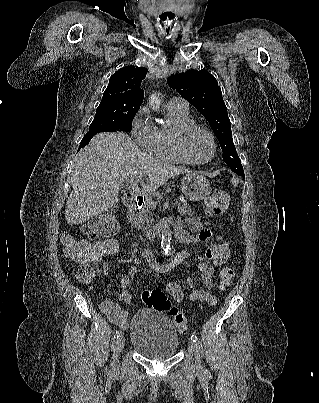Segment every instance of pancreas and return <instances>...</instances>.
<instances>
[{
	"instance_id": "1",
	"label": "pancreas",
	"mask_w": 319,
	"mask_h": 403,
	"mask_svg": "<svg viewBox=\"0 0 319 403\" xmlns=\"http://www.w3.org/2000/svg\"><path fill=\"white\" fill-rule=\"evenodd\" d=\"M155 209V206H152L149 204L148 201H146L137 211V214L133 216V222L132 225L136 229H141L142 231H146L150 228L151 226V212ZM178 212L182 216H193L194 212L192 209L186 204V202H183L178 206Z\"/></svg>"
}]
</instances>
